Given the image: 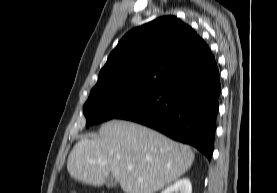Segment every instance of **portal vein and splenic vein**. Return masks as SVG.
<instances>
[{
    "instance_id": "portal-vein-and-splenic-vein-1",
    "label": "portal vein and splenic vein",
    "mask_w": 277,
    "mask_h": 193,
    "mask_svg": "<svg viewBox=\"0 0 277 193\" xmlns=\"http://www.w3.org/2000/svg\"><path fill=\"white\" fill-rule=\"evenodd\" d=\"M133 169V166L132 165H129L128 166V170H132Z\"/></svg>"
}]
</instances>
